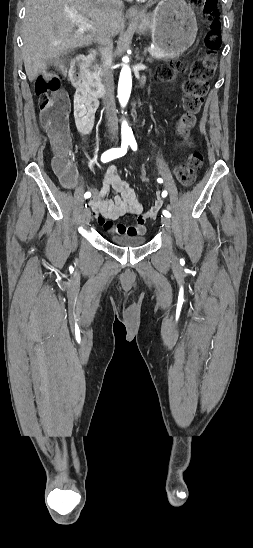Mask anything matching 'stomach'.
Segmentation results:
<instances>
[{"mask_svg":"<svg viewBox=\"0 0 253 548\" xmlns=\"http://www.w3.org/2000/svg\"><path fill=\"white\" fill-rule=\"evenodd\" d=\"M135 23L139 34H149L157 47L175 55L193 45L198 30L195 14L185 0H162Z\"/></svg>","mask_w":253,"mask_h":548,"instance_id":"obj_1","label":"stomach"}]
</instances>
